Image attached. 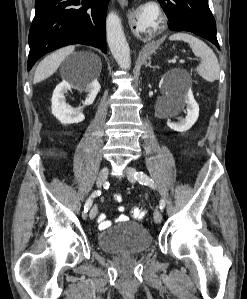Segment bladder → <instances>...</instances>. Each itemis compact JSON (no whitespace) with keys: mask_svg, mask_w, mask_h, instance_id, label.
<instances>
[{"mask_svg":"<svg viewBox=\"0 0 247 299\" xmlns=\"http://www.w3.org/2000/svg\"><path fill=\"white\" fill-rule=\"evenodd\" d=\"M97 242L105 252L129 255L142 253L150 249L152 236L143 224L125 221L101 231Z\"/></svg>","mask_w":247,"mask_h":299,"instance_id":"obj_1","label":"bladder"}]
</instances>
